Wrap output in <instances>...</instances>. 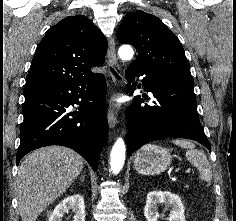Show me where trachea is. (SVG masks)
Instances as JSON below:
<instances>
[{
	"label": "trachea",
	"mask_w": 236,
	"mask_h": 221,
	"mask_svg": "<svg viewBox=\"0 0 236 221\" xmlns=\"http://www.w3.org/2000/svg\"><path fill=\"white\" fill-rule=\"evenodd\" d=\"M111 72L114 74V76H115L117 79H120L114 69L111 68Z\"/></svg>",
	"instance_id": "trachea-1"
}]
</instances>
